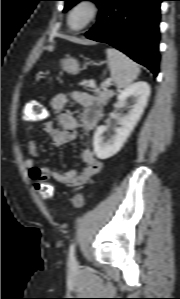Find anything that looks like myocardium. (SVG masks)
<instances>
[{"instance_id":"obj_1","label":"myocardium","mask_w":180,"mask_h":299,"mask_svg":"<svg viewBox=\"0 0 180 299\" xmlns=\"http://www.w3.org/2000/svg\"><path fill=\"white\" fill-rule=\"evenodd\" d=\"M79 8H85L88 11V17L82 25L74 27L71 23L72 15ZM99 15L100 6L94 0H79L68 11L67 24L72 31L80 32L91 26L94 22H96L99 18Z\"/></svg>"}]
</instances>
